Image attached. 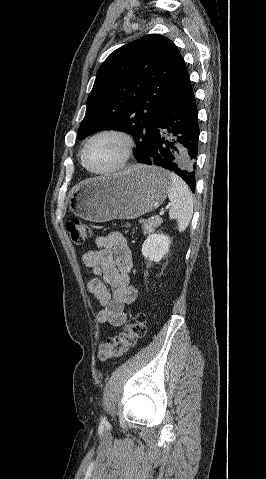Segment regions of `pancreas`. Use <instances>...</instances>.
I'll return each instance as SVG.
<instances>
[{
  "instance_id": "1",
  "label": "pancreas",
  "mask_w": 266,
  "mask_h": 479,
  "mask_svg": "<svg viewBox=\"0 0 266 479\" xmlns=\"http://www.w3.org/2000/svg\"><path fill=\"white\" fill-rule=\"evenodd\" d=\"M140 223H142V229L144 234H148L153 232L156 228H158L161 223L162 219L159 217H155L154 219H148V220H140Z\"/></svg>"
}]
</instances>
